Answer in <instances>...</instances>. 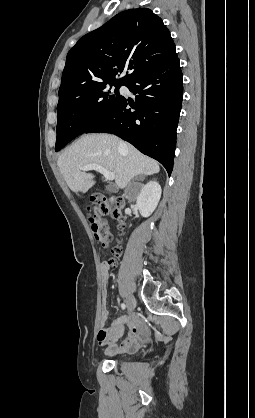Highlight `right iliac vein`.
I'll return each mask as SVG.
<instances>
[{
    "mask_svg": "<svg viewBox=\"0 0 255 418\" xmlns=\"http://www.w3.org/2000/svg\"><path fill=\"white\" fill-rule=\"evenodd\" d=\"M135 306H136V301L134 297L129 296L127 298V308H128L129 313L133 312Z\"/></svg>",
    "mask_w": 255,
    "mask_h": 418,
    "instance_id": "63e3f726",
    "label": "right iliac vein"
}]
</instances>
